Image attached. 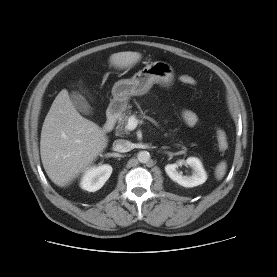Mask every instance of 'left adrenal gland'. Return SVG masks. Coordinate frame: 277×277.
Wrapping results in <instances>:
<instances>
[{
  "label": "left adrenal gland",
  "instance_id": "1",
  "mask_svg": "<svg viewBox=\"0 0 277 277\" xmlns=\"http://www.w3.org/2000/svg\"><path fill=\"white\" fill-rule=\"evenodd\" d=\"M168 148H169V147H167V146H163V147H162V149H168Z\"/></svg>",
  "mask_w": 277,
  "mask_h": 277
}]
</instances>
